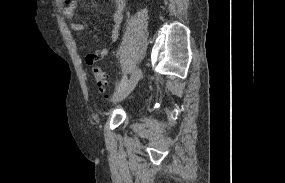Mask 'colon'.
Wrapping results in <instances>:
<instances>
[{"label":"colon","instance_id":"1","mask_svg":"<svg viewBox=\"0 0 285 183\" xmlns=\"http://www.w3.org/2000/svg\"><path fill=\"white\" fill-rule=\"evenodd\" d=\"M93 77L98 89L104 92L108 86L106 74L97 66L93 68Z\"/></svg>","mask_w":285,"mask_h":183}]
</instances>
